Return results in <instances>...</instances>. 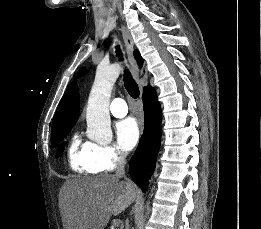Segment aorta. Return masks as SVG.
Instances as JSON below:
<instances>
[{
	"mask_svg": "<svg viewBox=\"0 0 261 229\" xmlns=\"http://www.w3.org/2000/svg\"><path fill=\"white\" fill-rule=\"evenodd\" d=\"M122 70L119 62L109 66L98 64L94 84L90 90L86 108L87 131L95 139L99 133H106L110 137L111 121L109 100L113 84Z\"/></svg>",
	"mask_w": 261,
	"mask_h": 229,
	"instance_id": "aorta-1",
	"label": "aorta"
}]
</instances>
